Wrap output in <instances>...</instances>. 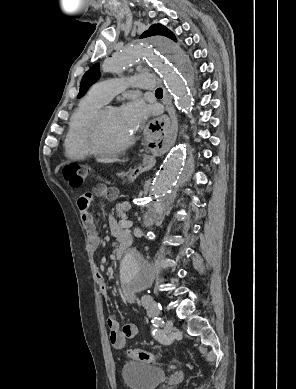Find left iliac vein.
Masks as SVG:
<instances>
[{
  "label": "left iliac vein",
  "mask_w": 296,
  "mask_h": 389,
  "mask_svg": "<svg viewBox=\"0 0 296 389\" xmlns=\"http://www.w3.org/2000/svg\"><path fill=\"white\" fill-rule=\"evenodd\" d=\"M173 330V322L171 320H167L164 325L163 333L170 334Z\"/></svg>",
  "instance_id": "1"
}]
</instances>
